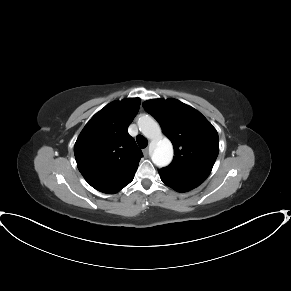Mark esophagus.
I'll list each match as a JSON object with an SVG mask.
<instances>
[{"instance_id":"1","label":"esophagus","mask_w":291,"mask_h":291,"mask_svg":"<svg viewBox=\"0 0 291 291\" xmlns=\"http://www.w3.org/2000/svg\"><path fill=\"white\" fill-rule=\"evenodd\" d=\"M143 153H144V156H145V157H147V156H148V154H149V151H148V149H144V150H143Z\"/></svg>"}]
</instances>
